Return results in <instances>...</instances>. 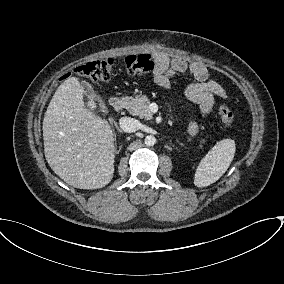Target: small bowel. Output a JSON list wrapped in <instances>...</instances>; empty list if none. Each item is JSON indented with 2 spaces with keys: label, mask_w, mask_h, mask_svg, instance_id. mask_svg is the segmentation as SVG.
Masks as SVG:
<instances>
[{
  "label": "small bowel",
  "mask_w": 284,
  "mask_h": 284,
  "mask_svg": "<svg viewBox=\"0 0 284 284\" xmlns=\"http://www.w3.org/2000/svg\"><path fill=\"white\" fill-rule=\"evenodd\" d=\"M156 68L152 74L154 83L167 88L170 85L171 78L177 73H187L194 81L185 89L187 99L197 104L204 117L211 115L214 109L215 97L225 99L226 92L222 85L209 78V71L205 65L200 62H187L179 57H170L167 54L157 52L154 54ZM188 133L192 136L199 131L197 124L188 126Z\"/></svg>",
  "instance_id": "small-bowel-1"
}]
</instances>
